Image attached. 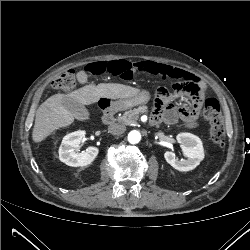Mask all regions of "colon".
<instances>
[{
	"instance_id": "1",
	"label": "colon",
	"mask_w": 250,
	"mask_h": 250,
	"mask_svg": "<svg viewBox=\"0 0 250 250\" xmlns=\"http://www.w3.org/2000/svg\"><path fill=\"white\" fill-rule=\"evenodd\" d=\"M134 70V65L127 61H111L91 63L85 67L84 72L86 75L92 76L111 75L121 79H128L132 76ZM75 85L76 76L73 70L63 72L52 82L53 88L60 91H70ZM160 89L157 92V97L160 95ZM191 94L195 96L196 92H191ZM203 113L209 123L211 141L216 145H222L225 139V131L219 102L212 96L206 97Z\"/></svg>"
}]
</instances>
